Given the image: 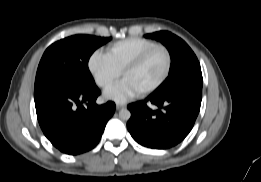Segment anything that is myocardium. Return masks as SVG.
<instances>
[{
  "label": "myocardium",
  "instance_id": "obj_1",
  "mask_svg": "<svg viewBox=\"0 0 261 182\" xmlns=\"http://www.w3.org/2000/svg\"><path fill=\"white\" fill-rule=\"evenodd\" d=\"M156 50H162L166 56L165 71H164L163 75L161 76V78L156 83H154L150 87L146 88L145 90L141 91V94H144V95L152 93L155 90H157L158 88H160L165 83V81L168 79V77L170 75L173 60H172L171 52L166 46L157 44L155 46H152V47L146 49L141 54H139L135 59H133L129 64H127L121 73L122 77H124V75L127 72H130V71L138 68L146 60V58Z\"/></svg>",
  "mask_w": 261,
  "mask_h": 182
}]
</instances>
